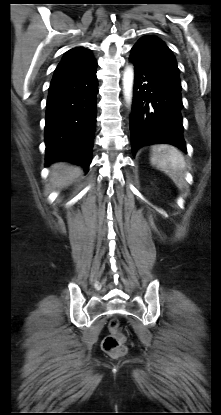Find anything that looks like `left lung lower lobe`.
I'll return each instance as SVG.
<instances>
[{
	"instance_id": "obj_1",
	"label": "left lung lower lobe",
	"mask_w": 221,
	"mask_h": 415,
	"mask_svg": "<svg viewBox=\"0 0 221 415\" xmlns=\"http://www.w3.org/2000/svg\"><path fill=\"white\" fill-rule=\"evenodd\" d=\"M134 65L130 133L132 152L141 146L166 143L186 151L183 137L181 84L130 58Z\"/></svg>"
}]
</instances>
